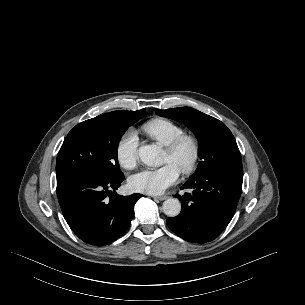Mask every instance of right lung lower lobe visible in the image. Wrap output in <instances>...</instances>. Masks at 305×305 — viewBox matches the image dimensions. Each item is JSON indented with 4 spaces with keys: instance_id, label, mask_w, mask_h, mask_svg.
Wrapping results in <instances>:
<instances>
[{
    "instance_id": "obj_1",
    "label": "right lung lower lobe",
    "mask_w": 305,
    "mask_h": 305,
    "mask_svg": "<svg viewBox=\"0 0 305 305\" xmlns=\"http://www.w3.org/2000/svg\"><path fill=\"white\" fill-rule=\"evenodd\" d=\"M123 180V174L109 179L78 172L57 174V197L63 216L85 243L110 244L129 227L134 205L142 195H118L115 190Z\"/></svg>"
}]
</instances>
